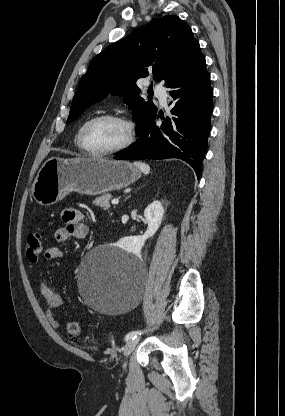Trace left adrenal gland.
<instances>
[{
	"label": "left adrenal gland",
	"mask_w": 285,
	"mask_h": 416,
	"mask_svg": "<svg viewBox=\"0 0 285 416\" xmlns=\"http://www.w3.org/2000/svg\"><path fill=\"white\" fill-rule=\"evenodd\" d=\"M128 198H129V196H128ZM128 198H126V200H128ZM126 200H124V202H126Z\"/></svg>",
	"instance_id": "1"
}]
</instances>
